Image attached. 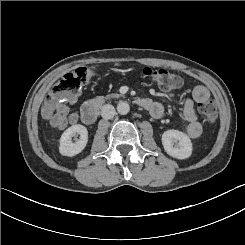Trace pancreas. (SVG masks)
I'll list each match as a JSON object with an SVG mask.
<instances>
[{
	"mask_svg": "<svg viewBox=\"0 0 245 245\" xmlns=\"http://www.w3.org/2000/svg\"><path fill=\"white\" fill-rule=\"evenodd\" d=\"M118 97H120V94L113 93V94L107 95V98H118Z\"/></svg>",
	"mask_w": 245,
	"mask_h": 245,
	"instance_id": "1",
	"label": "pancreas"
}]
</instances>
